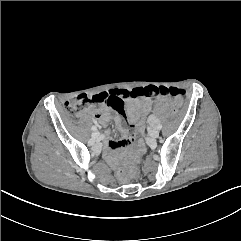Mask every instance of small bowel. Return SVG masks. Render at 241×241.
Segmentation results:
<instances>
[{
  "label": "small bowel",
  "mask_w": 241,
  "mask_h": 241,
  "mask_svg": "<svg viewBox=\"0 0 241 241\" xmlns=\"http://www.w3.org/2000/svg\"><path fill=\"white\" fill-rule=\"evenodd\" d=\"M114 90L122 91L124 89H114ZM110 91L103 92V93H109ZM136 98L137 97L128 99L126 103L127 115H128L129 121L132 124L142 125L144 116L150 110V103L147 100L136 99ZM125 100L126 98L123 100V112H124ZM104 106L105 107L100 111H96L94 108H89L87 110V114L89 116L94 117L96 122L102 126H105L111 119H113L115 124L117 125L118 130L122 136V139L113 140L111 138H107L105 140V155L109 161H112L113 152L115 150L129 147L132 144L137 134V129L134 125H130L127 129L124 128L122 126L123 112L118 113L116 116L112 117L109 113V109H114V108L109 105H104Z\"/></svg>",
  "instance_id": "1"
}]
</instances>
